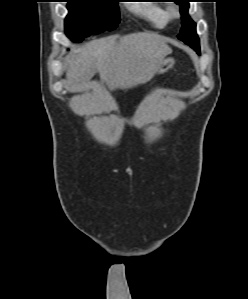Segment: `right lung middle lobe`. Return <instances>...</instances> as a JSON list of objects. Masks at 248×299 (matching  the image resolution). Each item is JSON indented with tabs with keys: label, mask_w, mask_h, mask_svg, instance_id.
<instances>
[{
	"label": "right lung middle lobe",
	"mask_w": 248,
	"mask_h": 299,
	"mask_svg": "<svg viewBox=\"0 0 248 299\" xmlns=\"http://www.w3.org/2000/svg\"><path fill=\"white\" fill-rule=\"evenodd\" d=\"M117 0H68L67 36L80 42L90 34L116 28L120 22Z\"/></svg>",
	"instance_id": "obj_1"
}]
</instances>
